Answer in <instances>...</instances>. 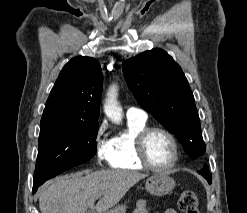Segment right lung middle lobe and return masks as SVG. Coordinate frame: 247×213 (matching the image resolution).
Returning <instances> with one entry per match:
<instances>
[{"label": "right lung middle lobe", "instance_id": "obj_1", "mask_svg": "<svg viewBox=\"0 0 247 213\" xmlns=\"http://www.w3.org/2000/svg\"><path fill=\"white\" fill-rule=\"evenodd\" d=\"M97 131L98 124H41L34 185L90 160L96 153Z\"/></svg>", "mask_w": 247, "mask_h": 213}]
</instances>
